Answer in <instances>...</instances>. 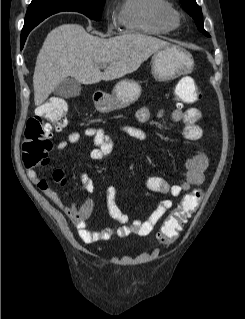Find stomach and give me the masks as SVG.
Listing matches in <instances>:
<instances>
[{
	"label": "stomach",
	"mask_w": 245,
	"mask_h": 319,
	"mask_svg": "<svg viewBox=\"0 0 245 319\" xmlns=\"http://www.w3.org/2000/svg\"><path fill=\"white\" fill-rule=\"evenodd\" d=\"M193 57L186 50L168 45L156 51L151 59V72L157 81H168L192 71ZM141 86L137 81L125 79L119 81L111 95L105 94L95 101L96 109L101 113L128 107L138 100Z\"/></svg>",
	"instance_id": "obj_1"
}]
</instances>
